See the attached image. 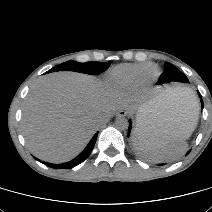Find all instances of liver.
<instances>
[{"mask_svg":"<svg viewBox=\"0 0 212 212\" xmlns=\"http://www.w3.org/2000/svg\"><path fill=\"white\" fill-rule=\"evenodd\" d=\"M152 105L155 119L147 123L148 129L162 135L176 132L179 137H189L197 124V112H188L164 91L152 99ZM121 108L132 110L133 100L104 87L92 76L73 72L48 74L37 80L26 97L23 135L36 157L53 163L66 162L84 149L100 119L106 120Z\"/></svg>","mask_w":212,"mask_h":212,"instance_id":"liver-1","label":"liver"}]
</instances>
